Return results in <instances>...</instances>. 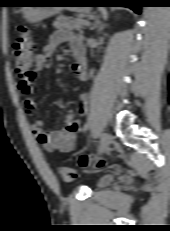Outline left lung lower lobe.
I'll return each mask as SVG.
<instances>
[{"instance_id":"0a47b994","label":"left lung lower lobe","mask_w":170,"mask_h":231,"mask_svg":"<svg viewBox=\"0 0 170 231\" xmlns=\"http://www.w3.org/2000/svg\"><path fill=\"white\" fill-rule=\"evenodd\" d=\"M103 6H112L114 3L122 4L121 6L131 8L136 13H140V8L144 5V0H102Z\"/></svg>"}]
</instances>
